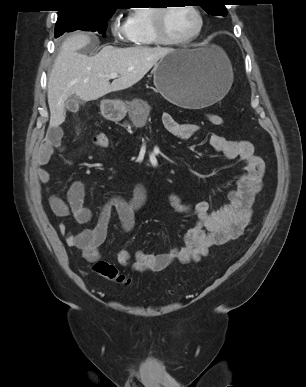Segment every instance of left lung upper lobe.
I'll return each mask as SVG.
<instances>
[{
  "mask_svg": "<svg viewBox=\"0 0 306 387\" xmlns=\"http://www.w3.org/2000/svg\"><path fill=\"white\" fill-rule=\"evenodd\" d=\"M225 1L226 0H196L198 5L212 16H226L227 10L224 5Z\"/></svg>",
  "mask_w": 306,
  "mask_h": 387,
  "instance_id": "1",
  "label": "left lung upper lobe"
}]
</instances>
